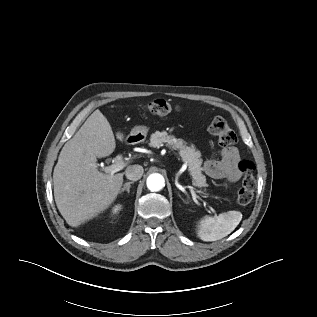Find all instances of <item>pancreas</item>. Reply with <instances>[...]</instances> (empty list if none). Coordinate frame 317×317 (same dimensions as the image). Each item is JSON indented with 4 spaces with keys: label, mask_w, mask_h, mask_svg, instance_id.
<instances>
[{
    "label": "pancreas",
    "mask_w": 317,
    "mask_h": 317,
    "mask_svg": "<svg viewBox=\"0 0 317 317\" xmlns=\"http://www.w3.org/2000/svg\"><path fill=\"white\" fill-rule=\"evenodd\" d=\"M164 144L171 149L179 151V156L189 167V173L193 178V184L195 186L200 188L207 186L206 177L202 174L200 151L196 150L194 146H187L184 140L177 139L173 135H169L166 131H156L151 135L149 143L151 147L159 148Z\"/></svg>",
    "instance_id": "cf45deb5"
}]
</instances>
